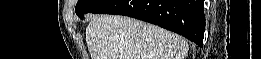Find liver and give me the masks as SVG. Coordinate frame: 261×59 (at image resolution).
Wrapping results in <instances>:
<instances>
[{
	"label": "liver",
	"instance_id": "liver-1",
	"mask_svg": "<svg viewBox=\"0 0 261 59\" xmlns=\"http://www.w3.org/2000/svg\"><path fill=\"white\" fill-rule=\"evenodd\" d=\"M91 59H184L186 40L125 16L96 15L86 28Z\"/></svg>",
	"mask_w": 261,
	"mask_h": 59
}]
</instances>
